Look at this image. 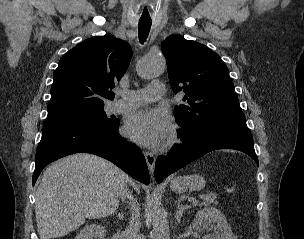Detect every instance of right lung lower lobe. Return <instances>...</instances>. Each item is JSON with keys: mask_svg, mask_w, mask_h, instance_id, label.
Segmentation results:
<instances>
[{"mask_svg": "<svg viewBox=\"0 0 304 239\" xmlns=\"http://www.w3.org/2000/svg\"><path fill=\"white\" fill-rule=\"evenodd\" d=\"M119 120L111 126L73 125L42 129L35 157L33 185L43 168L64 156L85 152L105 158L134 179L148 185L150 177L141 150L118 133Z\"/></svg>", "mask_w": 304, "mask_h": 239, "instance_id": "obj_1", "label": "right lung lower lobe"}]
</instances>
